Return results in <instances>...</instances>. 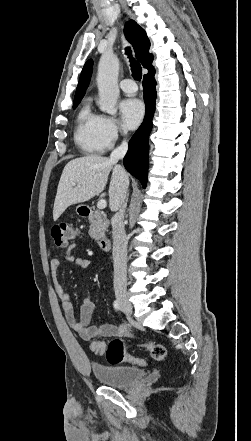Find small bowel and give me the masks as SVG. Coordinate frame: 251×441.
Wrapping results in <instances>:
<instances>
[{
	"instance_id": "c3829d8e",
	"label": "small bowel",
	"mask_w": 251,
	"mask_h": 441,
	"mask_svg": "<svg viewBox=\"0 0 251 441\" xmlns=\"http://www.w3.org/2000/svg\"><path fill=\"white\" fill-rule=\"evenodd\" d=\"M66 262H74L78 267L87 269L91 266V261L85 257H76L70 250L64 257ZM61 261L57 258L50 260V272L53 281L54 291L61 302V310L64 318L71 329L76 331L80 337L86 341H93L104 337H128L129 330L126 326H115L112 324H103L95 326L92 324L94 303L84 298L80 305L79 318H76L71 304L70 294L62 287L58 279V271Z\"/></svg>"
}]
</instances>
